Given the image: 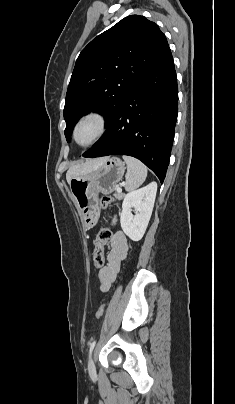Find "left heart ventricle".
Here are the masks:
<instances>
[{
    "instance_id": "1",
    "label": "left heart ventricle",
    "mask_w": 235,
    "mask_h": 404,
    "mask_svg": "<svg viewBox=\"0 0 235 404\" xmlns=\"http://www.w3.org/2000/svg\"><path fill=\"white\" fill-rule=\"evenodd\" d=\"M95 134V125L92 122L84 124L78 133V139L81 142L89 140Z\"/></svg>"
}]
</instances>
